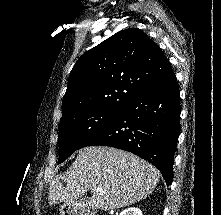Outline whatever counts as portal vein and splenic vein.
<instances>
[{"label": "portal vein and splenic vein", "instance_id": "1", "mask_svg": "<svg viewBox=\"0 0 221 215\" xmlns=\"http://www.w3.org/2000/svg\"><path fill=\"white\" fill-rule=\"evenodd\" d=\"M97 191H98V192H102V189H101V188H98Z\"/></svg>", "mask_w": 221, "mask_h": 215}]
</instances>
